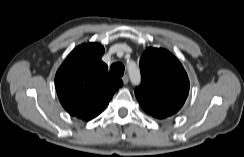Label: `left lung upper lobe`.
<instances>
[{"label": "left lung upper lobe", "mask_w": 244, "mask_h": 157, "mask_svg": "<svg viewBox=\"0 0 244 157\" xmlns=\"http://www.w3.org/2000/svg\"><path fill=\"white\" fill-rule=\"evenodd\" d=\"M141 84L136 98L149 115L164 119L177 113L189 93L186 71L166 49L147 48L140 59Z\"/></svg>", "instance_id": "1"}]
</instances>
